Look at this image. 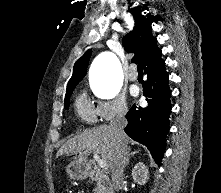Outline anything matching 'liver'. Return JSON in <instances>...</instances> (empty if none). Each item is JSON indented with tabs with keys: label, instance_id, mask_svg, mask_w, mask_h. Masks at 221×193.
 Listing matches in <instances>:
<instances>
[{
	"label": "liver",
	"instance_id": "1",
	"mask_svg": "<svg viewBox=\"0 0 221 193\" xmlns=\"http://www.w3.org/2000/svg\"><path fill=\"white\" fill-rule=\"evenodd\" d=\"M116 135L110 125H101L87 129L83 133L66 141L57 152V157L63 154H78L75 160L85 163L87 157L93 151L100 154L110 168L115 153ZM123 142L127 145L129 138L123 135Z\"/></svg>",
	"mask_w": 221,
	"mask_h": 193
}]
</instances>
